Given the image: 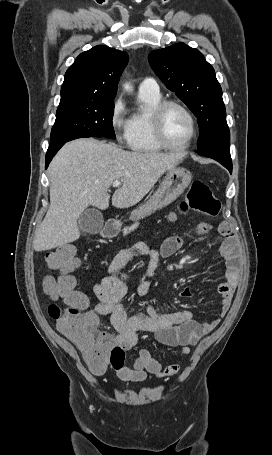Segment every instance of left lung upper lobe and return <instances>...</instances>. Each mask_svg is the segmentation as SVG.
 Here are the masks:
<instances>
[{"instance_id": "left-lung-upper-lobe-1", "label": "left lung upper lobe", "mask_w": 272, "mask_h": 455, "mask_svg": "<svg viewBox=\"0 0 272 455\" xmlns=\"http://www.w3.org/2000/svg\"><path fill=\"white\" fill-rule=\"evenodd\" d=\"M148 59L166 87L198 118V149L230 142L222 89L213 67L202 53L184 43H178L152 51Z\"/></svg>"}]
</instances>
